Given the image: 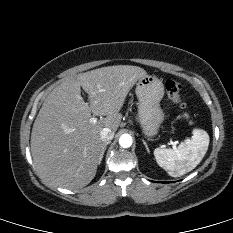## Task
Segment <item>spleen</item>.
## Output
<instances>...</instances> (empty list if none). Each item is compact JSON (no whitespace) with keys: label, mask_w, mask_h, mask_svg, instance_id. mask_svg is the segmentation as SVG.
<instances>
[{"label":"spleen","mask_w":233,"mask_h":233,"mask_svg":"<svg viewBox=\"0 0 233 233\" xmlns=\"http://www.w3.org/2000/svg\"><path fill=\"white\" fill-rule=\"evenodd\" d=\"M191 140H185L177 148L154 150L157 164L172 177H180L192 171L205 156L209 146V135L202 129H194Z\"/></svg>","instance_id":"obj_1"}]
</instances>
